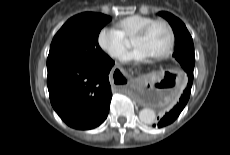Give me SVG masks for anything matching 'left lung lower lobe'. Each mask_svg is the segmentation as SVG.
I'll list each match as a JSON object with an SVG mask.
<instances>
[{
    "label": "left lung lower lobe",
    "mask_w": 230,
    "mask_h": 155,
    "mask_svg": "<svg viewBox=\"0 0 230 155\" xmlns=\"http://www.w3.org/2000/svg\"><path fill=\"white\" fill-rule=\"evenodd\" d=\"M187 76H188V83L185 89L183 90L179 101L177 104L171 109L168 113H166L163 118L160 119L158 124H154L153 127H164L166 125L171 124L175 119L179 116L181 111L184 109L185 105L187 104L189 97H190V92H191V87L193 83V71L187 67Z\"/></svg>",
    "instance_id": "obj_1"
}]
</instances>
